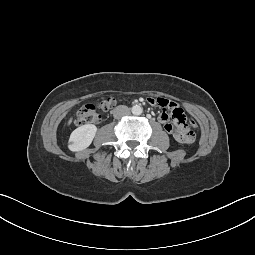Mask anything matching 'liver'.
I'll use <instances>...</instances> for the list:
<instances>
[{"label":"liver","mask_w":255,"mask_h":255,"mask_svg":"<svg viewBox=\"0 0 255 255\" xmlns=\"http://www.w3.org/2000/svg\"><path fill=\"white\" fill-rule=\"evenodd\" d=\"M71 122H72V118H70V119H69V121H68L67 125H70V124H71Z\"/></svg>","instance_id":"obj_1"}]
</instances>
